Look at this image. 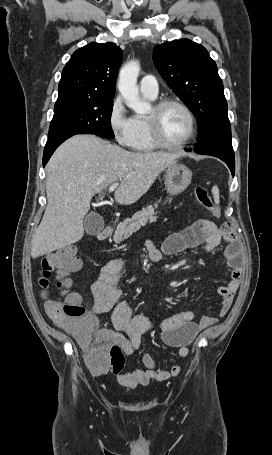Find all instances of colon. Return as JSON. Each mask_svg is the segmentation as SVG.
Wrapping results in <instances>:
<instances>
[{"label":"colon","instance_id":"1","mask_svg":"<svg viewBox=\"0 0 272 455\" xmlns=\"http://www.w3.org/2000/svg\"><path fill=\"white\" fill-rule=\"evenodd\" d=\"M195 197L213 216L219 217L218 207L204 188L197 187ZM79 266L77 250L72 245L56 250L43 260L39 285L46 300V314L60 328L78 340L85 351L86 363L90 368L99 372L109 369L118 372L124 365L123 349L95 334V318L86 312L80 298L68 291L69 276ZM52 289L61 290L64 299L50 298L48 294Z\"/></svg>","mask_w":272,"mask_h":455}]
</instances>
